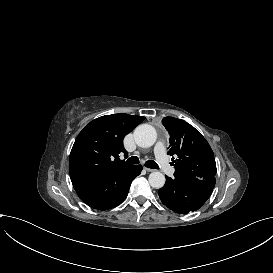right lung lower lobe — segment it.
<instances>
[{
	"instance_id": "obj_1",
	"label": "right lung lower lobe",
	"mask_w": 273,
	"mask_h": 273,
	"mask_svg": "<svg viewBox=\"0 0 273 273\" xmlns=\"http://www.w3.org/2000/svg\"><path fill=\"white\" fill-rule=\"evenodd\" d=\"M142 166L136 165L126 175L116 178L114 183L111 184V192L107 199L98 203L92 208L98 210H107L119 205L127 196L132 180L141 173Z\"/></svg>"
}]
</instances>
